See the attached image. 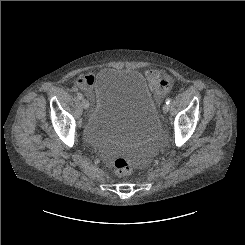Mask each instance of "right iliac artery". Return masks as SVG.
<instances>
[{"mask_svg":"<svg viewBox=\"0 0 245 245\" xmlns=\"http://www.w3.org/2000/svg\"><path fill=\"white\" fill-rule=\"evenodd\" d=\"M77 97H78L80 100L83 99V95L80 94V93H78Z\"/></svg>","mask_w":245,"mask_h":245,"instance_id":"1","label":"right iliac artery"}]
</instances>
